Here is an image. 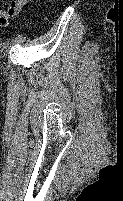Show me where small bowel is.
Masks as SVG:
<instances>
[{
  "instance_id": "small-bowel-1",
  "label": "small bowel",
  "mask_w": 123,
  "mask_h": 201,
  "mask_svg": "<svg viewBox=\"0 0 123 201\" xmlns=\"http://www.w3.org/2000/svg\"><path fill=\"white\" fill-rule=\"evenodd\" d=\"M30 0H12L5 9H0V27L8 25L9 20L16 17Z\"/></svg>"
}]
</instances>
